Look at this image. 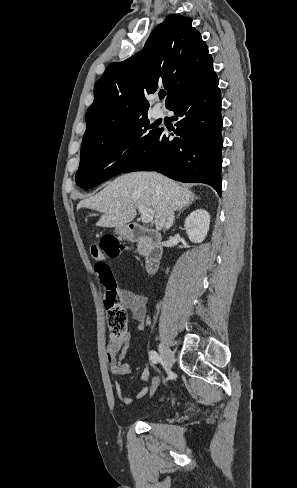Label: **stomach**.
<instances>
[{
  "label": "stomach",
  "mask_w": 297,
  "mask_h": 488,
  "mask_svg": "<svg viewBox=\"0 0 297 488\" xmlns=\"http://www.w3.org/2000/svg\"><path fill=\"white\" fill-rule=\"evenodd\" d=\"M116 233L124 238H127L129 236L127 227L117 228Z\"/></svg>",
  "instance_id": "1"
}]
</instances>
